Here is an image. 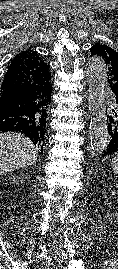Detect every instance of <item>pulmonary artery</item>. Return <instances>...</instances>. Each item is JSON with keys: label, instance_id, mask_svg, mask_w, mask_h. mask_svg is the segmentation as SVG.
Returning a JSON list of instances; mask_svg holds the SVG:
<instances>
[{"label": "pulmonary artery", "instance_id": "e3ab8cb5", "mask_svg": "<svg viewBox=\"0 0 118 269\" xmlns=\"http://www.w3.org/2000/svg\"><path fill=\"white\" fill-rule=\"evenodd\" d=\"M110 98H111V101L113 102V103H115V99H114V97L111 95L110 96Z\"/></svg>", "mask_w": 118, "mask_h": 269}]
</instances>
